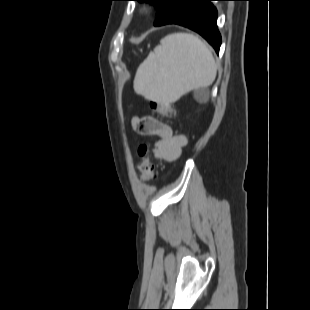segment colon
I'll return each mask as SVG.
<instances>
[{"instance_id": "5ec220e1", "label": "colon", "mask_w": 310, "mask_h": 310, "mask_svg": "<svg viewBox=\"0 0 310 310\" xmlns=\"http://www.w3.org/2000/svg\"><path fill=\"white\" fill-rule=\"evenodd\" d=\"M151 110L162 117L171 118L175 114L174 105L168 101L153 100L150 104ZM141 157L140 171L141 179L145 182L151 181L155 176V165L151 157V147L149 144H142L139 148Z\"/></svg>"}]
</instances>
